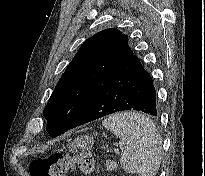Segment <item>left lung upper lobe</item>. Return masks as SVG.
Masks as SVG:
<instances>
[{
	"instance_id": "1",
	"label": "left lung upper lobe",
	"mask_w": 205,
	"mask_h": 176,
	"mask_svg": "<svg viewBox=\"0 0 205 176\" xmlns=\"http://www.w3.org/2000/svg\"><path fill=\"white\" fill-rule=\"evenodd\" d=\"M133 56L128 37L117 29L96 33L80 47L43 111L51 137L66 132L96 90Z\"/></svg>"
}]
</instances>
